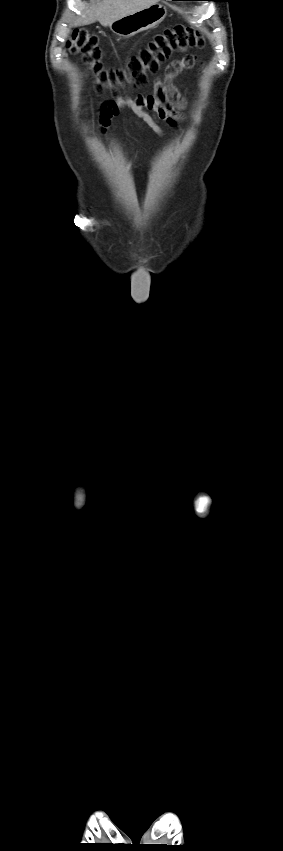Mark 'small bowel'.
Masks as SVG:
<instances>
[{
    "label": "small bowel",
    "mask_w": 283,
    "mask_h": 851,
    "mask_svg": "<svg viewBox=\"0 0 283 851\" xmlns=\"http://www.w3.org/2000/svg\"><path fill=\"white\" fill-rule=\"evenodd\" d=\"M183 51L185 49H182ZM195 59L192 56L180 61H174L166 68L164 78L155 81L152 94L139 95L135 99L118 98L115 102L104 104L99 119V130L105 133L110 126L111 119L116 116L119 109H130L137 117L143 120L151 130L159 137H163V131L156 120L147 110L154 111L158 118L166 122L170 127L176 128L180 113L187 106L186 100L181 96L173 84V79L186 67L193 65Z\"/></svg>",
    "instance_id": "obj_1"
}]
</instances>
